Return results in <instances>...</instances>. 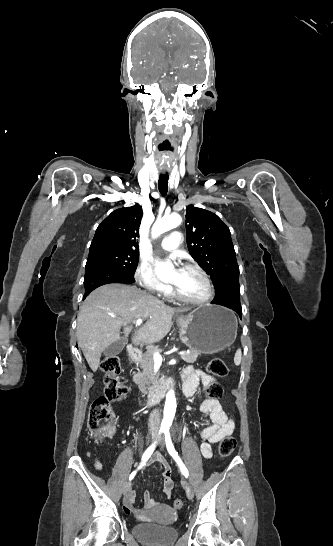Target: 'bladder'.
<instances>
[{
	"mask_svg": "<svg viewBox=\"0 0 333 546\" xmlns=\"http://www.w3.org/2000/svg\"><path fill=\"white\" fill-rule=\"evenodd\" d=\"M132 533L139 541L154 546L170 544L178 536L175 527L154 523H138L132 527Z\"/></svg>",
	"mask_w": 333,
	"mask_h": 546,
	"instance_id": "obj_1",
	"label": "bladder"
}]
</instances>
